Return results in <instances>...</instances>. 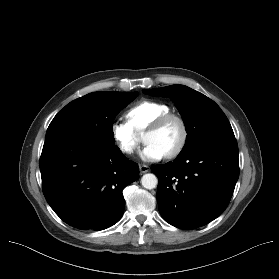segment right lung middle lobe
I'll return each mask as SVG.
<instances>
[{
	"label": "right lung middle lobe",
	"mask_w": 279,
	"mask_h": 279,
	"mask_svg": "<svg viewBox=\"0 0 279 279\" xmlns=\"http://www.w3.org/2000/svg\"><path fill=\"white\" fill-rule=\"evenodd\" d=\"M137 92H93L67 104L50 123L45 142L78 136L104 147L115 146L112 124Z\"/></svg>",
	"instance_id": "right-lung-middle-lobe-1"
}]
</instances>
